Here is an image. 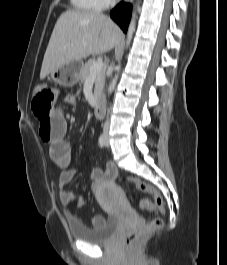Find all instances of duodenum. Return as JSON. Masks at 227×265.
<instances>
[{"mask_svg":"<svg viewBox=\"0 0 227 265\" xmlns=\"http://www.w3.org/2000/svg\"><path fill=\"white\" fill-rule=\"evenodd\" d=\"M93 112L96 118L101 119L104 115V106L100 99H97L93 105Z\"/></svg>","mask_w":227,"mask_h":265,"instance_id":"410a0bca","label":"duodenum"}]
</instances>
